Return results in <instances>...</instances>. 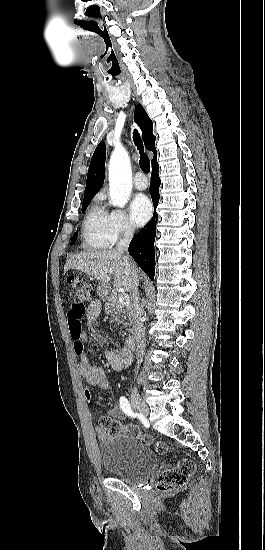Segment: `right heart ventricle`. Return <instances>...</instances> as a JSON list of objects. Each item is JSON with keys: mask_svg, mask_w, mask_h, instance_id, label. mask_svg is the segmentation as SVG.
<instances>
[{"mask_svg": "<svg viewBox=\"0 0 265 550\" xmlns=\"http://www.w3.org/2000/svg\"><path fill=\"white\" fill-rule=\"evenodd\" d=\"M110 213L101 205L94 204L82 223V242L89 249H106L114 242L109 226Z\"/></svg>", "mask_w": 265, "mask_h": 550, "instance_id": "right-heart-ventricle-1", "label": "right heart ventricle"}]
</instances>
